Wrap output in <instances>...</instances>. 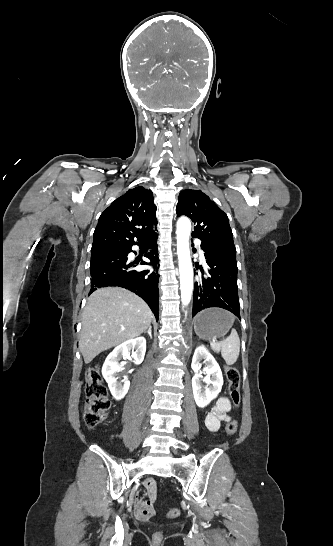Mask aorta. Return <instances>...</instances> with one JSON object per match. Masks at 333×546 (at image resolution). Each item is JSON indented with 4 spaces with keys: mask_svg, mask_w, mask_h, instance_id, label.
Instances as JSON below:
<instances>
[{
    "mask_svg": "<svg viewBox=\"0 0 333 546\" xmlns=\"http://www.w3.org/2000/svg\"><path fill=\"white\" fill-rule=\"evenodd\" d=\"M191 223L187 217H180L177 221V254L180 271V290L183 305H188L193 291V268L189 249Z\"/></svg>",
    "mask_w": 333,
    "mask_h": 546,
    "instance_id": "obj_1",
    "label": "aorta"
}]
</instances>
